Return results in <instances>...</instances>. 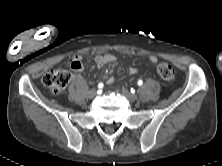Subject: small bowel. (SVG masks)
I'll use <instances>...</instances> for the list:
<instances>
[{
	"label": "small bowel",
	"mask_w": 222,
	"mask_h": 166,
	"mask_svg": "<svg viewBox=\"0 0 222 166\" xmlns=\"http://www.w3.org/2000/svg\"><path fill=\"white\" fill-rule=\"evenodd\" d=\"M95 64L97 68H103L108 64L113 63L116 60V57L113 54L106 53V54H98L95 56ZM68 65L75 71L79 72L83 69V61L82 57L79 55L73 56L69 62ZM137 68H130L129 74L133 75L137 73ZM114 82V78L110 77L107 79V84H112Z\"/></svg>",
	"instance_id": "small-bowel-1"
}]
</instances>
